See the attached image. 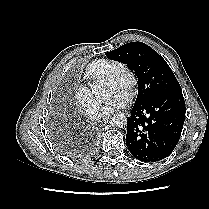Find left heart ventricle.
Here are the masks:
<instances>
[{"instance_id":"b2bd125f","label":"left heart ventricle","mask_w":209,"mask_h":209,"mask_svg":"<svg viewBox=\"0 0 209 209\" xmlns=\"http://www.w3.org/2000/svg\"><path fill=\"white\" fill-rule=\"evenodd\" d=\"M108 89H109V94H111V93H113L114 91H116V90H122V89H120V88H118L115 84H113V83H109L108 84Z\"/></svg>"}]
</instances>
